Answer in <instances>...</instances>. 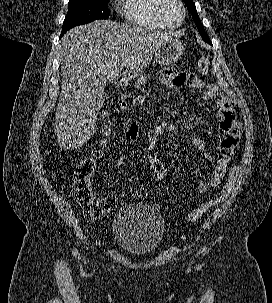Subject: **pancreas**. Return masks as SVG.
Instances as JSON below:
<instances>
[{"label": "pancreas", "mask_w": 272, "mask_h": 303, "mask_svg": "<svg viewBox=\"0 0 272 303\" xmlns=\"http://www.w3.org/2000/svg\"><path fill=\"white\" fill-rule=\"evenodd\" d=\"M148 78H150V77L149 76L146 77L145 75H141L140 77H138L137 81L135 83V88L139 89V88H141V86L145 85Z\"/></svg>", "instance_id": "1"}]
</instances>
